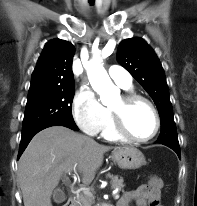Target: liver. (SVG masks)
Returning <instances> with one entry per match:
<instances>
[{"instance_id":"1","label":"liver","mask_w":197,"mask_h":206,"mask_svg":"<svg viewBox=\"0 0 197 206\" xmlns=\"http://www.w3.org/2000/svg\"><path fill=\"white\" fill-rule=\"evenodd\" d=\"M110 149L62 126L42 130L18 163L24 206H52V192L68 171L81 173L83 183L90 184L103 163L104 153Z\"/></svg>"}]
</instances>
